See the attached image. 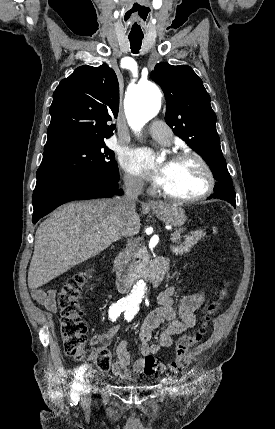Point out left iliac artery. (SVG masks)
Masks as SVG:
<instances>
[{
    "instance_id": "obj_1",
    "label": "left iliac artery",
    "mask_w": 275,
    "mask_h": 429,
    "mask_svg": "<svg viewBox=\"0 0 275 429\" xmlns=\"http://www.w3.org/2000/svg\"><path fill=\"white\" fill-rule=\"evenodd\" d=\"M125 309L126 310L124 313V317L127 321H131L133 319L134 315L137 313V308L128 306Z\"/></svg>"
}]
</instances>
